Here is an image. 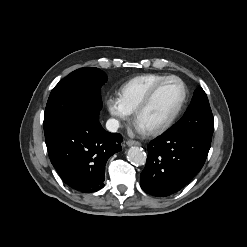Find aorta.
Here are the masks:
<instances>
[{
  "mask_svg": "<svg viewBox=\"0 0 247 247\" xmlns=\"http://www.w3.org/2000/svg\"><path fill=\"white\" fill-rule=\"evenodd\" d=\"M127 159L133 165L140 166L146 163V153L142 148L139 147H131L127 152Z\"/></svg>",
  "mask_w": 247,
  "mask_h": 247,
  "instance_id": "1",
  "label": "aorta"
}]
</instances>
